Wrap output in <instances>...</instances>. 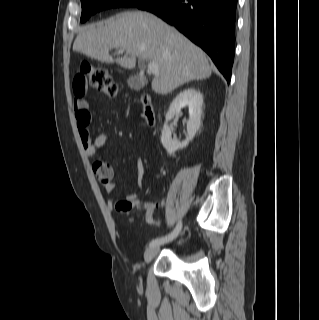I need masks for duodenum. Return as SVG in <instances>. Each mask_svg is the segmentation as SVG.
Masks as SVG:
<instances>
[{"instance_id":"duodenum-1","label":"duodenum","mask_w":319,"mask_h":320,"mask_svg":"<svg viewBox=\"0 0 319 320\" xmlns=\"http://www.w3.org/2000/svg\"><path fill=\"white\" fill-rule=\"evenodd\" d=\"M143 104H144V115L149 125H153L155 118L153 109L150 104V99L148 96L143 97Z\"/></svg>"}]
</instances>
